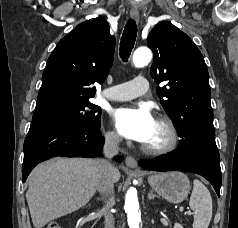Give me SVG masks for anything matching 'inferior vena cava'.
Masks as SVG:
<instances>
[{"mask_svg": "<svg viewBox=\"0 0 238 228\" xmlns=\"http://www.w3.org/2000/svg\"><path fill=\"white\" fill-rule=\"evenodd\" d=\"M119 136L114 133H108L105 137V144L103 152L105 159L99 161V174L97 189L100 193L107 196L108 199L102 209L105 217V228H115L114 217L111 213V208L115 204L114 199V180L113 171L114 166L110 163L109 159L118 153Z\"/></svg>", "mask_w": 238, "mask_h": 228, "instance_id": "inferior-vena-cava-1", "label": "inferior vena cava"}]
</instances>
